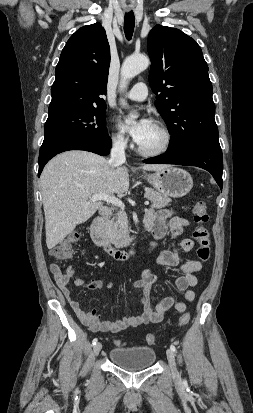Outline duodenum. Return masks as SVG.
Here are the masks:
<instances>
[{"instance_id":"duodenum-1","label":"duodenum","mask_w":253,"mask_h":413,"mask_svg":"<svg viewBox=\"0 0 253 413\" xmlns=\"http://www.w3.org/2000/svg\"><path fill=\"white\" fill-rule=\"evenodd\" d=\"M111 216V210L108 207H102L98 216L93 220L90 226V234L94 243L104 249V251L118 261H127L135 254L134 246L129 250L117 249L109 239L105 224Z\"/></svg>"}]
</instances>
